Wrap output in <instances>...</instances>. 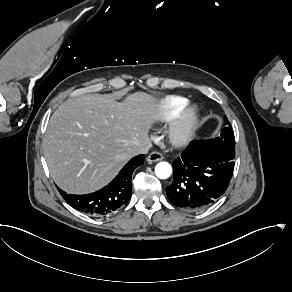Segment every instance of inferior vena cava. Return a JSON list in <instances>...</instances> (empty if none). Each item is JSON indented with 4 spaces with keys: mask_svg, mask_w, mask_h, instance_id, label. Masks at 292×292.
<instances>
[{
    "mask_svg": "<svg viewBox=\"0 0 292 292\" xmlns=\"http://www.w3.org/2000/svg\"><path fill=\"white\" fill-rule=\"evenodd\" d=\"M151 147H152L151 141L147 140V142H145L142 146L134 149L132 151V154H133V156L139 155V154H146Z\"/></svg>",
    "mask_w": 292,
    "mask_h": 292,
    "instance_id": "1",
    "label": "inferior vena cava"
}]
</instances>
